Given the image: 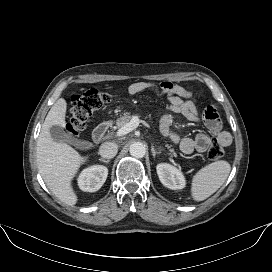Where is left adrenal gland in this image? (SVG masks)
I'll return each mask as SVG.
<instances>
[{
	"label": "left adrenal gland",
	"mask_w": 272,
	"mask_h": 272,
	"mask_svg": "<svg viewBox=\"0 0 272 272\" xmlns=\"http://www.w3.org/2000/svg\"><path fill=\"white\" fill-rule=\"evenodd\" d=\"M151 152H152V155H153V157L155 158V156L157 155V154H160L161 153V150H155V148H154V146H151Z\"/></svg>",
	"instance_id": "left-adrenal-gland-1"
}]
</instances>
